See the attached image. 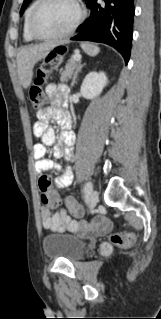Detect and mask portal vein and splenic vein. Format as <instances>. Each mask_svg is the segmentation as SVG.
Wrapping results in <instances>:
<instances>
[{
	"mask_svg": "<svg viewBox=\"0 0 161 319\" xmlns=\"http://www.w3.org/2000/svg\"><path fill=\"white\" fill-rule=\"evenodd\" d=\"M74 59H75L76 61H80V60H81V55L75 54V55H74Z\"/></svg>",
	"mask_w": 161,
	"mask_h": 319,
	"instance_id": "18ae733b",
	"label": "portal vein and splenic vein"
}]
</instances>
